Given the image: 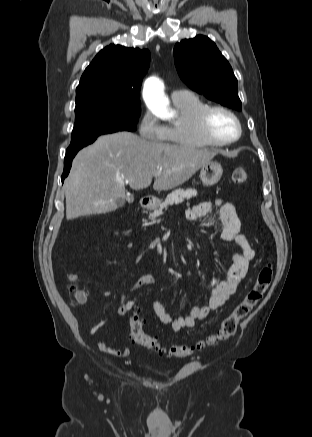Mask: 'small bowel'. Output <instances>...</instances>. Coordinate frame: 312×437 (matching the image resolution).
<instances>
[{
	"mask_svg": "<svg viewBox=\"0 0 312 437\" xmlns=\"http://www.w3.org/2000/svg\"><path fill=\"white\" fill-rule=\"evenodd\" d=\"M219 209L220 220L223 225L222 239L227 243L236 244L240 251L232 254V264L222 278H216L211 282V293L208 303L204 306H194L187 316L173 318L160 301H154L152 307L158 320L165 325H170L172 330L178 332L184 328H192L196 322L207 318L213 310L221 308L226 301L236 292L240 283L246 276L250 261L255 257V251L250 247L245 235L241 232V221L233 203L224 200L200 202L186 211V218L190 221L202 218L210 213L213 206ZM155 279L151 274H145L139 278L135 285L122 294L118 313L124 317L128 312L137 307V302L128 297V293L150 286ZM85 301V300H84ZM95 347L108 355L126 357L129 355L128 348H115L111 344L98 341Z\"/></svg>",
	"mask_w": 312,
	"mask_h": 437,
	"instance_id": "1",
	"label": "small bowel"
}]
</instances>
